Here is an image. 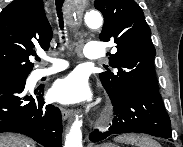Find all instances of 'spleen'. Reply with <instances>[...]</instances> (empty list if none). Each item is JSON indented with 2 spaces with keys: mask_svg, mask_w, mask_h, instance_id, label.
Wrapping results in <instances>:
<instances>
[{
  "mask_svg": "<svg viewBox=\"0 0 183 147\" xmlns=\"http://www.w3.org/2000/svg\"><path fill=\"white\" fill-rule=\"evenodd\" d=\"M117 142H124L136 147H160V144L148 136L123 135L114 139Z\"/></svg>",
  "mask_w": 183,
  "mask_h": 147,
  "instance_id": "obj_1",
  "label": "spleen"
}]
</instances>
